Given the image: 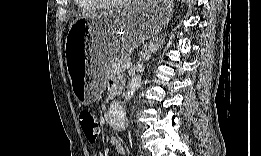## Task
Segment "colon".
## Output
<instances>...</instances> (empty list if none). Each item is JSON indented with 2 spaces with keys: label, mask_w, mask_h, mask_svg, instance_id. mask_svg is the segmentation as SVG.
<instances>
[{
  "label": "colon",
  "mask_w": 261,
  "mask_h": 156,
  "mask_svg": "<svg viewBox=\"0 0 261 156\" xmlns=\"http://www.w3.org/2000/svg\"><path fill=\"white\" fill-rule=\"evenodd\" d=\"M78 120L86 140L90 143L95 142L99 134V122L96 115L89 110H81Z\"/></svg>",
  "instance_id": "colon-1"
}]
</instances>
